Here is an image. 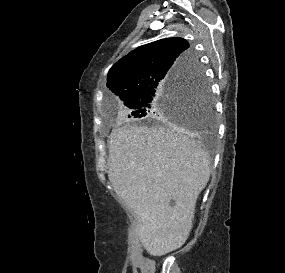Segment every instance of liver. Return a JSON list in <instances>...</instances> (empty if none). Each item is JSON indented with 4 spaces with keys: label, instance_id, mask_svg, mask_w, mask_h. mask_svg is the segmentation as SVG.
Here are the masks:
<instances>
[{
    "label": "liver",
    "instance_id": "1",
    "mask_svg": "<svg viewBox=\"0 0 285 273\" xmlns=\"http://www.w3.org/2000/svg\"><path fill=\"white\" fill-rule=\"evenodd\" d=\"M109 155L108 178L137 215L146 251L162 256L180 248L210 178L207 152L177 127L127 124L110 135Z\"/></svg>",
    "mask_w": 285,
    "mask_h": 273
}]
</instances>
